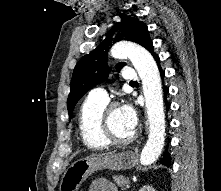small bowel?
Masks as SVG:
<instances>
[{
    "label": "small bowel",
    "mask_w": 221,
    "mask_h": 191,
    "mask_svg": "<svg viewBox=\"0 0 221 191\" xmlns=\"http://www.w3.org/2000/svg\"><path fill=\"white\" fill-rule=\"evenodd\" d=\"M89 191H117V188L112 182L99 179L91 183Z\"/></svg>",
    "instance_id": "small-bowel-1"
}]
</instances>
